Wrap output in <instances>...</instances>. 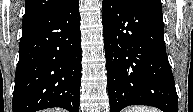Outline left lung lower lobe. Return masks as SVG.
<instances>
[{"instance_id": "left-lung-lower-lobe-1", "label": "left lung lower lobe", "mask_w": 193, "mask_h": 112, "mask_svg": "<svg viewBox=\"0 0 193 112\" xmlns=\"http://www.w3.org/2000/svg\"><path fill=\"white\" fill-rule=\"evenodd\" d=\"M102 20L111 112L129 105L177 112L161 3L103 0Z\"/></svg>"}]
</instances>
